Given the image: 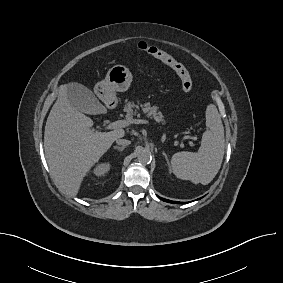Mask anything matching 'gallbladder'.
<instances>
[{
    "label": "gallbladder",
    "mask_w": 283,
    "mask_h": 283,
    "mask_svg": "<svg viewBox=\"0 0 283 283\" xmlns=\"http://www.w3.org/2000/svg\"><path fill=\"white\" fill-rule=\"evenodd\" d=\"M68 101L77 111L95 114L104 110L93 93L85 86L78 83L67 85Z\"/></svg>",
    "instance_id": "gallbladder-1"
}]
</instances>
